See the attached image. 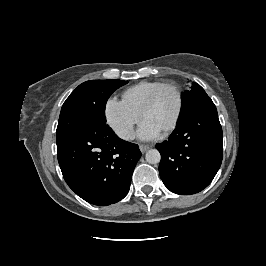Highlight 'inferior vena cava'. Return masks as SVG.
Here are the masks:
<instances>
[{"instance_id":"602c4592","label":"inferior vena cava","mask_w":266,"mask_h":266,"mask_svg":"<svg viewBox=\"0 0 266 266\" xmlns=\"http://www.w3.org/2000/svg\"><path fill=\"white\" fill-rule=\"evenodd\" d=\"M119 136L123 139H134V131L132 128H128L123 130Z\"/></svg>"}]
</instances>
